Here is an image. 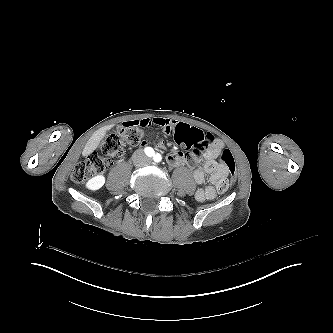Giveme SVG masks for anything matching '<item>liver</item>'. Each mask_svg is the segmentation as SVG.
<instances>
[{"label": "liver", "mask_w": 333, "mask_h": 333, "mask_svg": "<svg viewBox=\"0 0 333 333\" xmlns=\"http://www.w3.org/2000/svg\"><path fill=\"white\" fill-rule=\"evenodd\" d=\"M114 127V124L103 126L96 130L92 136L87 141L85 147L83 148L82 155L84 157L90 155L94 150L97 149L98 145L100 144V141L105 136L106 132Z\"/></svg>", "instance_id": "1"}]
</instances>
